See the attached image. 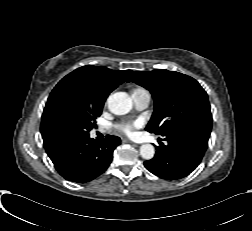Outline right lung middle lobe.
I'll return each mask as SVG.
<instances>
[{
  "label": "right lung middle lobe",
  "mask_w": 252,
  "mask_h": 231,
  "mask_svg": "<svg viewBox=\"0 0 252 231\" xmlns=\"http://www.w3.org/2000/svg\"><path fill=\"white\" fill-rule=\"evenodd\" d=\"M104 102L89 100L72 88L53 89L46 103L41 134L46 150L89 134Z\"/></svg>",
  "instance_id": "dd1d6c3e"
}]
</instances>
